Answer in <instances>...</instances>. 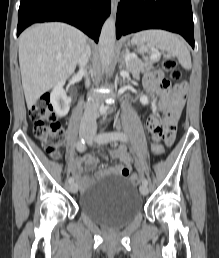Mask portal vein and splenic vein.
<instances>
[{"label": "portal vein and splenic vein", "mask_w": 219, "mask_h": 258, "mask_svg": "<svg viewBox=\"0 0 219 258\" xmlns=\"http://www.w3.org/2000/svg\"><path fill=\"white\" fill-rule=\"evenodd\" d=\"M158 57H160V53H159V52H156V53H154V54H152V55L150 56L151 59H155V58H158ZM130 59H131V57H130V56H127V57L125 58V62L128 63V62L130 61Z\"/></svg>", "instance_id": "portal-vein-and-splenic-vein-1"}]
</instances>
